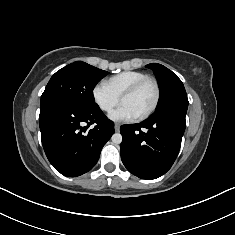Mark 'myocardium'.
Segmentation results:
<instances>
[{
    "label": "myocardium",
    "instance_id": "1",
    "mask_svg": "<svg viewBox=\"0 0 235 235\" xmlns=\"http://www.w3.org/2000/svg\"><path fill=\"white\" fill-rule=\"evenodd\" d=\"M148 83H150L154 86L155 98H154V101H153L152 105L144 113H142L141 115H139L137 117L139 120H143V119H146L147 117H149L156 110V108L158 107L160 97H161V89H160V85H159L158 81L156 79L152 78V77H147V78H145L143 80H140L139 82L135 83L131 87H129L120 96V101L122 102V100L125 97L131 96V95L137 93L143 86H145Z\"/></svg>",
    "mask_w": 235,
    "mask_h": 235
}]
</instances>
